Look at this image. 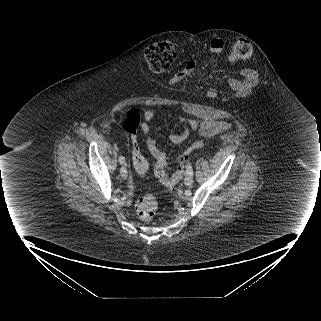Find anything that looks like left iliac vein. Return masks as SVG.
<instances>
[{"label": "left iliac vein", "instance_id": "left-iliac-vein-1", "mask_svg": "<svg viewBox=\"0 0 321 321\" xmlns=\"http://www.w3.org/2000/svg\"><path fill=\"white\" fill-rule=\"evenodd\" d=\"M184 183H185V185L188 186V187L191 186V185L193 184V177L188 174V175L185 177Z\"/></svg>", "mask_w": 321, "mask_h": 321}]
</instances>
